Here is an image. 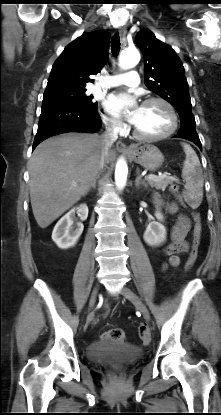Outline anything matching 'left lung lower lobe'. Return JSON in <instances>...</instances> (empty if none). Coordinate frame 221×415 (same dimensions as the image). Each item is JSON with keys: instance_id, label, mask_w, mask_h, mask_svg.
Here are the masks:
<instances>
[{"instance_id": "1", "label": "left lung lower lobe", "mask_w": 221, "mask_h": 415, "mask_svg": "<svg viewBox=\"0 0 221 415\" xmlns=\"http://www.w3.org/2000/svg\"><path fill=\"white\" fill-rule=\"evenodd\" d=\"M174 137L189 140V141L195 143L200 149H202L201 142H200L199 137L197 135L194 124H181L179 132Z\"/></svg>"}]
</instances>
